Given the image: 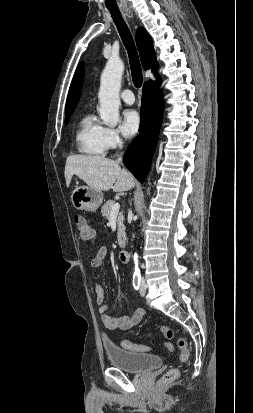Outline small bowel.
Segmentation results:
<instances>
[{"label":"small bowel","instance_id":"c3829d8e","mask_svg":"<svg viewBox=\"0 0 253 413\" xmlns=\"http://www.w3.org/2000/svg\"><path fill=\"white\" fill-rule=\"evenodd\" d=\"M107 250L102 247L98 250L96 255L91 261V267L98 269L102 267L104 259L106 257ZM95 300L99 306V313L104 326L111 330L116 329H129L137 325L144 315L143 309H137L131 316L113 317L108 313V305L104 303V290L101 286H96L94 289Z\"/></svg>","mask_w":253,"mask_h":413}]
</instances>
